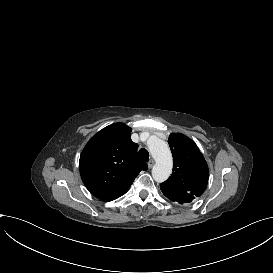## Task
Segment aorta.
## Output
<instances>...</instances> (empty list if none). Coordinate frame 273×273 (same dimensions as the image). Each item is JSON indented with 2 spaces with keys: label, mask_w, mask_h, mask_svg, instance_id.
<instances>
[{
  "label": "aorta",
  "mask_w": 273,
  "mask_h": 273,
  "mask_svg": "<svg viewBox=\"0 0 273 273\" xmlns=\"http://www.w3.org/2000/svg\"><path fill=\"white\" fill-rule=\"evenodd\" d=\"M148 148L155 160L152 176L156 182H164L172 172L173 160L169 146L161 139L154 138L148 142Z\"/></svg>",
  "instance_id": "1"
}]
</instances>
